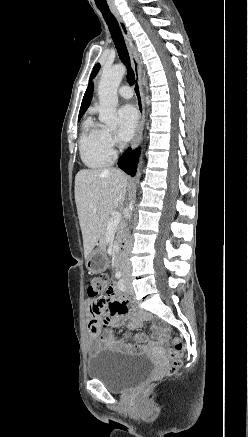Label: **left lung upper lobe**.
<instances>
[{
    "instance_id": "obj_1",
    "label": "left lung upper lobe",
    "mask_w": 248,
    "mask_h": 437,
    "mask_svg": "<svg viewBox=\"0 0 248 437\" xmlns=\"http://www.w3.org/2000/svg\"><path fill=\"white\" fill-rule=\"evenodd\" d=\"M99 68H100V65H99V64H97V65L94 67V69H93V71H92V74H91V77H90V82H91V80L95 77V75L98 73Z\"/></svg>"
}]
</instances>
